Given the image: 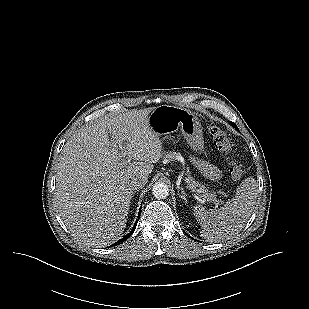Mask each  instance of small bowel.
I'll list each match as a JSON object with an SVG mask.
<instances>
[{
	"label": "small bowel",
	"mask_w": 309,
	"mask_h": 309,
	"mask_svg": "<svg viewBox=\"0 0 309 309\" xmlns=\"http://www.w3.org/2000/svg\"><path fill=\"white\" fill-rule=\"evenodd\" d=\"M201 169L210 180L216 181L220 178V171L212 165L202 163Z\"/></svg>",
	"instance_id": "small-bowel-1"
}]
</instances>
